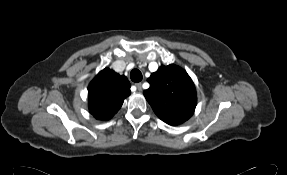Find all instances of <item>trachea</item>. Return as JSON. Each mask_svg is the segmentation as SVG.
<instances>
[{"label":"trachea","mask_w":287,"mask_h":175,"mask_svg":"<svg viewBox=\"0 0 287 175\" xmlns=\"http://www.w3.org/2000/svg\"><path fill=\"white\" fill-rule=\"evenodd\" d=\"M133 82H140L142 80V73L138 69H133L130 73Z\"/></svg>","instance_id":"1"}]
</instances>
